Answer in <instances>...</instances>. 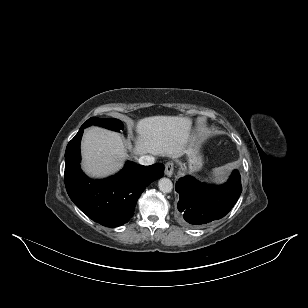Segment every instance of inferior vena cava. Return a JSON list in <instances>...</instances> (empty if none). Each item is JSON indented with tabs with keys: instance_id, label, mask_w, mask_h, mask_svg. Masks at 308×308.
I'll list each match as a JSON object with an SVG mask.
<instances>
[{
	"instance_id": "602c4592",
	"label": "inferior vena cava",
	"mask_w": 308,
	"mask_h": 308,
	"mask_svg": "<svg viewBox=\"0 0 308 308\" xmlns=\"http://www.w3.org/2000/svg\"><path fill=\"white\" fill-rule=\"evenodd\" d=\"M139 164L141 165H152L155 162V158L153 156L150 155H143L138 159Z\"/></svg>"
}]
</instances>
